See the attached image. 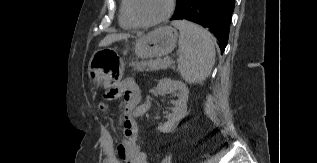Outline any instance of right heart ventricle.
I'll use <instances>...</instances> for the list:
<instances>
[{"label":"right heart ventricle","mask_w":317,"mask_h":163,"mask_svg":"<svg viewBox=\"0 0 317 163\" xmlns=\"http://www.w3.org/2000/svg\"><path fill=\"white\" fill-rule=\"evenodd\" d=\"M119 24L124 29H136L138 27L129 16L128 0H121Z\"/></svg>","instance_id":"obj_1"}]
</instances>
